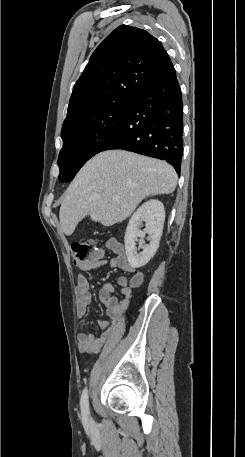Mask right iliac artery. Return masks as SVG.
<instances>
[{"mask_svg": "<svg viewBox=\"0 0 245 457\" xmlns=\"http://www.w3.org/2000/svg\"><path fill=\"white\" fill-rule=\"evenodd\" d=\"M80 406L82 414L87 416L89 414V402H88V391L87 388L83 390L80 400Z\"/></svg>", "mask_w": 245, "mask_h": 457, "instance_id": "1", "label": "right iliac artery"}]
</instances>
